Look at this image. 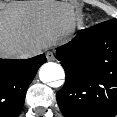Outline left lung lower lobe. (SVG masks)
<instances>
[{"instance_id":"left-lung-lower-lobe-1","label":"left lung lower lobe","mask_w":117,"mask_h":117,"mask_svg":"<svg viewBox=\"0 0 117 117\" xmlns=\"http://www.w3.org/2000/svg\"><path fill=\"white\" fill-rule=\"evenodd\" d=\"M66 73L56 94L65 117H114L117 114V21L80 31L57 48Z\"/></svg>"}]
</instances>
